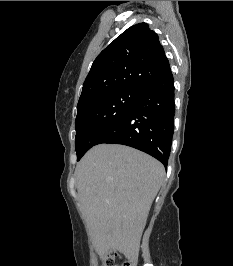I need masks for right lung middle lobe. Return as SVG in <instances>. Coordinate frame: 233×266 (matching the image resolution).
Instances as JSON below:
<instances>
[{
	"label": "right lung middle lobe",
	"instance_id": "1",
	"mask_svg": "<svg viewBox=\"0 0 233 266\" xmlns=\"http://www.w3.org/2000/svg\"><path fill=\"white\" fill-rule=\"evenodd\" d=\"M141 93L138 89H120L78 103L75 121L77 160L129 111Z\"/></svg>",
	"mask_w": 233,
	"mask_h": 266
}]
</instances>
